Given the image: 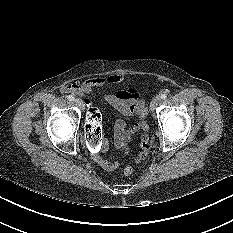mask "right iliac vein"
I'll return each instance as SVG.
<instances>
[{
  "label": "right iliac vein",
  "instance_id": "63e3f726",
  "mask_svg": "<svg viewBox=\"0 0 233 233\" xmlns=\"http://www.w3.org/2000/svg\"><path fill=\"white\" fill-rule=\"evenodd\" d=\"M74 102L76 105H78L80 108H84L83 101L81 99H75Z\"/></svg>",
  "mask_w": 233,
  "mask_h": 233
}]
</instances>
